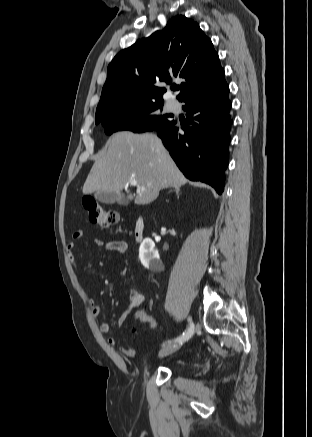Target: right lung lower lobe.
<instances>
[{
  "mask_svg": "<svg viewBox=\"0 0 312 437\" xmlns=\"http://www.w3.org/2000/svg\"><path fill=\"white\" fill-rule=\"evenodd\" d=\"M228 93L229 86L223 73L182 100L186 103L183 106L187 113L186 126L173 121L157 130L183 174L190 180L211 185L219 194L224 189L232 123Z\"/></svg>",
  "mask_w": 312,
  "mask_h": 437,
  "instance_id": "obj_1",
  "label": "right lung lower lobe"
}]
</instances>
